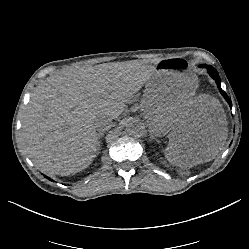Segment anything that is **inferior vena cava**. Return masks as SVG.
I'll return each instance as SVG.
<instances>
[{"label":"inferior vena cava","instance_id":"inferior-vena-cava-1","mask_svg":"<svg viewBox=\"0 0 249 249\" xmlns=\"http://www.w3.org/2000/svg\"><path fill=\"white\" fill-rule=\"evenodd\" d=\"M97 131H108L112 127V119L106 116H101L95 121Z\"/></svg>","mask_w":249,"mask_h":249}]
</instances>
